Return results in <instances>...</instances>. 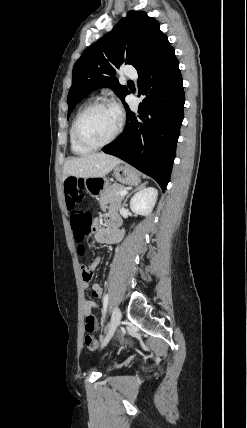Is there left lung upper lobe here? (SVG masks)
I'll return each mask as SVG.
<instances>
[{"mask_svg": "<svg viewBox=\"0 0 247 428\" xmlns=\"http://www.w3.org/2000/svg\"><path fill=\"white\" fill-rule=\"evenodd\" d=\"M172 48L158 21L145 12L130 11L113 30L89 46L74 65L68 109L91 91L110 87L124 103L129 91L114 78L115 68L132 64L137 71Z\"/></svg>", "mask_w": 247, "mask_h": 428, "instance_id": "1", "label": "left lung upper lobe"}]
</instances>
